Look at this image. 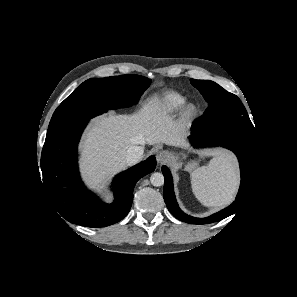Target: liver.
Segmentation results:
<instances>
[{
  "label": "liver",
  "instance_id": "obj_1",
  "mask_svg": "<svg viewBox=\"0 0 297 297\" xmlns=\"http://www.w3.org/2000/svg\"><path fill=\"white\" fill-rule=\"evenodd\" d=\"M185 137L186 131L156 99L132 115L112 112L97 117L81 144L80 165L85 181L101 189L111 175L126 168L131 147L160 143L184 147Z\"/></svg>",
  "mask_w": 297,
  "mask_h": 297
}]
</instances>
